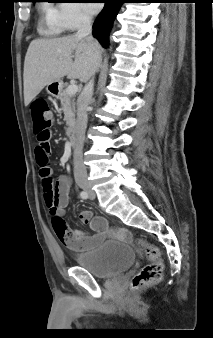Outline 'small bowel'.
<instances>
[{
	"label": "small bowel",
	"instance_id": "obj_1",
	"mask_svg": "<svg viewBox=\"0 0 213 338\" xmlns=\"http://www.w3.org/2000/svg\"><path fill=\"white\" fill-rule=\"evenodd\" d=\"M51 150L49 141L40 143L36 149L42 155L47 156ZM70 188V182L67 176H60L57 180L55 194L57 197V215L61 218L64 217L65 209L68 205V193ZM78 218L81 222L88 224L92 218L91 212L82 210L78 214ZM98 220L103 224L99 229H96L94 235H89L81 230H71L63 226L62 230H56L58 239L61 243L65 244L69 249L76 252L90 251L94 249L99 242L105 239L106 231L104 227L105 219L101 216L97 217ZM118 236L127 239L130 237V233L124 229H118Z\"/></svg>",
	"mask_w": 213,
	"mask_h": 338
}]
</instances>
